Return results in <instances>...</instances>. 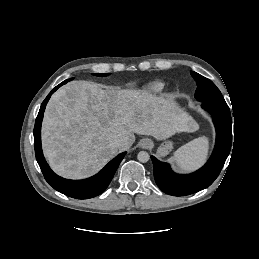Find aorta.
I'll return each mask as SVG.
<instances>
[{
	"instance_id": "762f6f07",
	"label": "aorta",
	"mask_w": 259,
	"mask_h": 259,
	"mask_svg": "<svg viewBox=\"0 0 259 259\" xmlns=\"http://www.w3.org/2000/svg\"><path fill=\"white\" fill-rule=\"evenodd\" d=\"M137 159L142 162V163H145L147 162L149 159H150V156L147 152L145 151H140L137 155Z\"/></svg>"
}]
</instances>
